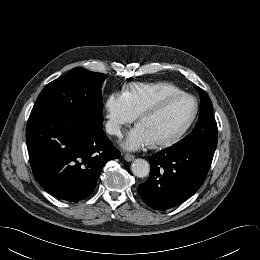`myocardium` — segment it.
Returning <instances> with one entry per match:
<instances>
[{"label":"myocardium","instance_id":"obj_1","mask_svg":"<svg viewBox=\"0 0 260 260\" xmlns=\"http://www.w3.org/2000/svg\"><path fill=\"white\" fill-rule=\"evenodd\" d=\"M176 97H187L189 99H191L193 106H192V110L188 116V118L186 119V121L183 123V125L176 130L174 133L157 139V140H153V144L156 146H167L170 145L174 142H176L177 140H179L186 132L187 130L191 127V125L193 124L197 113H198V101L197 99L190 93L184 92V91H177V92H172V93H168L166 95L161 96L160 98H158L156 101H154L150 106H148L147 108H145L144 110H142L140 112V114L138 115V121L141 122L144 118L155 114L156 112L159 111V109L169 100L176 98Z\"/></svg>","mask_w":260,"mask_h":260}]
</instances>
